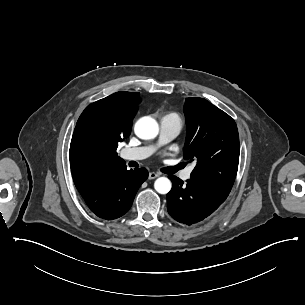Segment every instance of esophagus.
I'll use <instances>...</instances> for the list:
<instances>
[{"mask_svg":"<svg viewBox=\"0 0 305 305\" xmlns=\"http://www.w3.org/2000/svg\"><path fill=\"white\" fill-rule=\"evenodd\" d=\"M157 177H159V175L157 174V173H155V172H150L149 173V180H152V179H155V178H157Z\"/></svg>","mask_w":305,"mask_h":305,"instance_id":"34e87169","label":"esophagus"}]
</instances>
